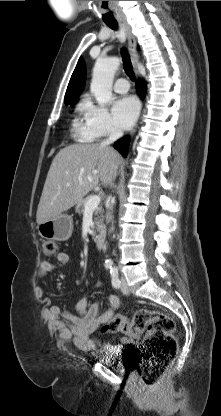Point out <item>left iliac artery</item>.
<instances>
[{
  "mask_svg": "<svg viewBox=\"0 0 221 416\" xmlns=\"http://www.w3.org/2000/svg\"><path fill=\"white\" fill-rule=\"evenodd\" d=\"M110 274H111V282H112L113 287L119 288L121 282L118 277V269L116 267L111 268Z\"/></svg>",
  "mask_w": 221,
  "mask_h": 416,
  "instance_id": "obj_1",
  "label": "left iliac artery"
}]
</instances>
